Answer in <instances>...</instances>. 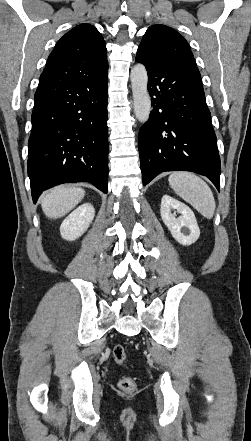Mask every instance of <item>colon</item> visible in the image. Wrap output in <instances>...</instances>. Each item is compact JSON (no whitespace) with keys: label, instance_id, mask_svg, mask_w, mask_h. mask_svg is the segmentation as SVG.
<instances>
[{"label":"colon","instance_id":"5ec220e1","mask_svg":"<svg viewBox=\"0 0 251 441\" xmlns=\"http://www.w3.org/2000/svg\"><path fill=\"white\" fill-rule=\"evenodd\" d=\"M112 355L115 362L124 365L127 359L125 349L122 345L117 344L112 349ZM119 388L125 392H132L136 388V382L131 376H124L118 382Z\"/></svg>","mask_w":251,"mask_h":441}]
</instances>
